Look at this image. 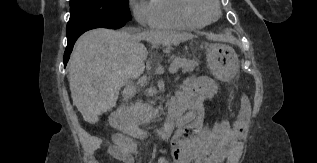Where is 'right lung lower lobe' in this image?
I'll list each match as a JSON object with an SVG mask.
<instances>
[{
    "label": "right lung lower lobe",
    "instance_id": "obj_1",
    "mask_svg": "<svg viewBox=\"0 0 317 163\" xmlns=\"http://www.w3.org/2000/svg\"><path fill=\"white\" fill-rule=\"evenodd\" d=\"M125 25L124 22H99V23H96L88 28H85L81 31H78L70 36L67 37V41H68V44H67V47H66V50H65V53H64V67H66V64L69 60V57H70V54L72 52V49H73V46H74V43L75 41L78 39V37L83 34L85 31H88L90 29H94V28H100V27H103V28H110V29H118V28H121Z\"/></svg>",
    "mask_w": 317,
    "mask_h": 163
}]
</instances>
